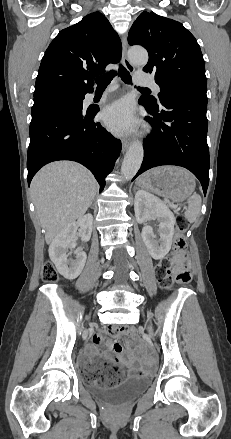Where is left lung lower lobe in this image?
<instances>
[{
  "label": "left lung lower lobe",
  "mask_w": 231,
  "mask_h": 439,
  "mask_svg": "<svg viewBox=\"0 0 231 439\" xmlns=\"http://www.w3.org/2000/svg\"><path fill=\"white\" fill-rule=\"evenodd\" d=\"M152 117L153 127L144 143V159L136 176L160 165H177L190 170L201 182L206 194L209 183L206 93L178 90L164 94L152 104L139 99Z\"/></svg>",
  "instance_id": "1"
}]
</instances>
